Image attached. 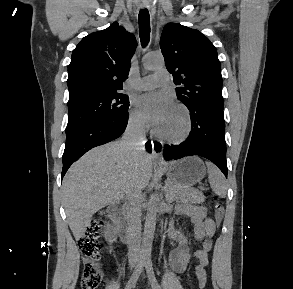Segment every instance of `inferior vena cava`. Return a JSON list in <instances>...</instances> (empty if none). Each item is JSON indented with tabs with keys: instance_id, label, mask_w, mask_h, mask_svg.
Segmentation results:
<instances>
[{
	"instance_id": "inferior-vena-cava-1",
	"label": "inferior vena cava",
	"mask_w": 293,
	"mask_h": 289,
	"mask_svg": "<svg viewBox=\"0 0 293 289\" xmlns=\"http://www.w3.org/2000/svg\"><path fill=\"white\" fill-rule=\"evenodd\" d=\"M122 139L130 150L137 152L144 151V143L146 141L144 123L140 121L129 123ZM141 198L142 191L138 187L132 185L130 188H128L125 198V208L129 220L130 230V238L128 241V257L133 262L138 261L140 253Z\"/></svg>"
}]
</instances>
